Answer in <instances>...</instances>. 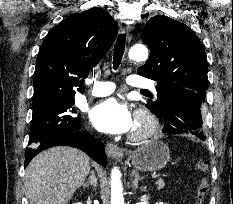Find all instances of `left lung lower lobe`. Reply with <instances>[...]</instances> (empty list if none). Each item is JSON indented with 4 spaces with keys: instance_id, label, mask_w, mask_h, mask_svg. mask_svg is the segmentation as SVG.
I'll return each instance as SVG.
<instances>
[{
    "instance_id": "1",
    "label": "left lung lower lobe",
    "mask_w": 233,
    "mask_h": 204,
    "mask_svg": "<svg viewBox=\"0 0 233 204\" xmlns=\"http://www.w3.org/2000/svg\"><path fill=\"white\" fill-rule=\"evenodd\" d=\"M205 95L182 90L167 98L161 109L154 112L163 125L162 132L168 135L192 134L204 141L201 106Z\"/></svg>"
}]
</instances>
